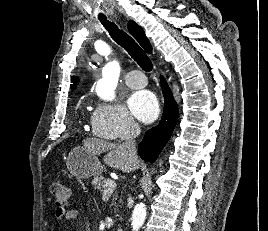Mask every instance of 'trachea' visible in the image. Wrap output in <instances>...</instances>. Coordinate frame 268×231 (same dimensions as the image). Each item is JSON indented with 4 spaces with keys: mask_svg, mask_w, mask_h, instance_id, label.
<instances>
[{
    "mask_svg": "<svg viewBox=\"0 0 268 231\" xmlns=\"http://www.w3.org/2000/svg\"><path fill=\"white\" fill-rule=\"evenodd\" d=\"M99 20L112 39L123 47L144 71L149 72L153 69L151 60L131 36L120 30L115 23L107 20V18H99Z\"/></svg>",
    "mask_w": 268,
    "mask_h": 231,
    "instance_id": "3493384b",
    "label": "trachea"
}]
</instances>
